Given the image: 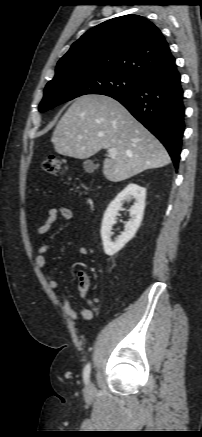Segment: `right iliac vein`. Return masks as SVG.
I'll use <instances>...</instances> for the list:
<instances>
[{"mask_svg":"<svg viewBox=\"0 0 202 437\" xmlns=\"http://www.w3.org/2000/svg\"><path fill=\"white\" fill-rule=\"evenodd\" d=\"M86 391H87V393H92V392H93V386H92L91 384H89V385L87 386Z\"/></svg>","mask_w":202,"mask_h":437,"instance_id":"1","label":"right iliac vein"}]
</instances>
